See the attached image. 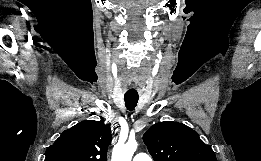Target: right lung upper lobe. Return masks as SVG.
<instances>
[{
	"mask_svg": "<svg viewBox=\"0 0 261 161\" xmlns=\"http://www.w3.org/2000/svg\"><path fill=\"white\" fill-rule=\"evenodd\" d=\"M110 143V127L103 121H82L48 147L45 161H107Z\"/></svg>",
	"mask_w": 261,
	"mask_h": 161,
	"instance_id": "1",
	"label": "right lung upper lobe"
}]
</instances>
